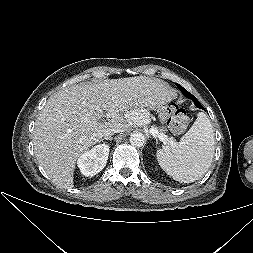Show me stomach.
Instances as JSON below:
<instances>
[{"instance_id":"stomach-1","label":"stomach","mask_w":253,"mask_h":253,"mask_svg":"<svg viewBox=\"0 0 253 253\" xmlns=\"http://www.w3.org/2000/svg\"><path fill=\"white\" fill-rule=\"evenodd\" d=\"M158 112V122L159 123H166L169 115L168 111V105L164 104L157 108Z\"/></svg>"}]
</instances>
